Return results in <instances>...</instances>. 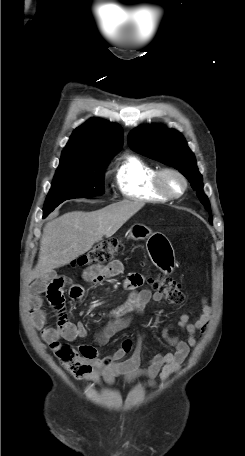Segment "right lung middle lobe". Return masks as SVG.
<instances>
[{
  "mask_svg": "<svg viewBox=\"0 0 245 456\" xmlns=\"http://www.w3.org/2000/svg\"><path fill=\"white\" fill-rule=\"evenodd\" d=\"M111 158L60 163L45 201L44 215L65 200L103 195L104 170Z\"/></svg>",
  "mask_w": 245,
  "mask_h": 456,
  "instance_id": "dd1d6c3e",
  "label": "right lung middle lobe"
}]
</instances>
